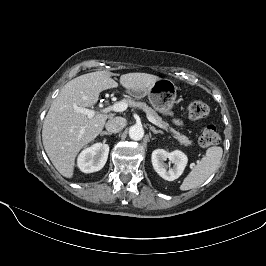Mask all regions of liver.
Instances as JSON below:
<instances>
[{"mask_svg": "<svg viewBox=\"0 0 266 266\" xmlns=\"http://www.w3.org/2000/svg\"><path fill=\"white\" fill-rule=\"evenodd\" d=\"M112 75L109 71H96L72 79L61 89L44 119V149L54 167L66 178L73 177L77 154L101 133L108 118L98 112L93 118H88L77 113L74 106L91 107L102 91L116 88L118 84ZM159 79L147 73H128L121 75L120 84L128 90L140 91Z\"/></svg>", "mask_w": 266, "mask_h": 266, "instance_id": "6515ba94", "label": "liver"}]
</instances>
